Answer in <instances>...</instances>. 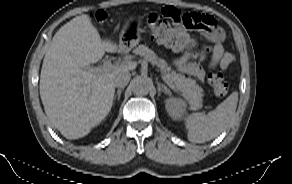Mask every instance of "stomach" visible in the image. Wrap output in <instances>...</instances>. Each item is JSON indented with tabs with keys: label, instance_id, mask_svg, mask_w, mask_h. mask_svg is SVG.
I'll list each match as a JSON object with an SVG mask.
<instances>
[{
	"label": "stomach",
	"instance_id": "1",
	"mask_svg": "<svg viewBox=\"0 0 292 184\" xmlns=\"http://www.w3.org/2000/svg\"><path fill=\"white\" fill-rule=\"evenodd\" d=\"M141 39L139 30L136 28V19L131 18L127 21L120 34V46L127 47L129 50L135 47Z\"/></svg>",
	"mask_w": 292,
	"mask_h": 184
}]
</instances>
